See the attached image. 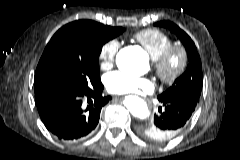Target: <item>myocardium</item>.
<instances>
[{"label": "myocardium", "instance_id": "1", "mask_svg": "<svg viewBox=\"0 0 240 160\" xmlns=\"http://www.w3.org/2000/svg\"><path fill=\"white\" fill-rule=\"evenodd\" d=\"M153 62L160 81L165 85H173L185 73L188 55L182 46L170 45Z\"/></svg>", "mask_w": 240, "mask_h": 160}]
</instances>
